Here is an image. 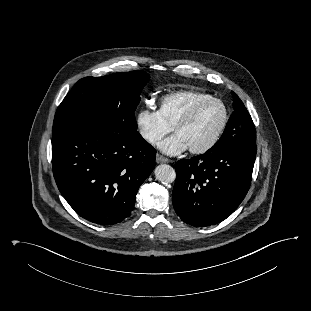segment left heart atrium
Masks as SVG:
<instances>
[{"label":"left heart atrium","instance_id":"left-heart-atrium-1","mask_svg":"<svg viewBox=\"0 0 311 311\" xmlns=\"http://www.w3.org/2000/svg\"><path fill=\"white\" fill-rule=\"evenodd\" d=\"M158 147L163 153L170 156L178 155L188 149L185 141L177 133L160 142Z\"/></svg>","mask_w":311,"mask_h":311}]
</instances>
